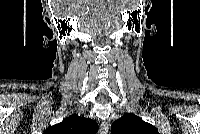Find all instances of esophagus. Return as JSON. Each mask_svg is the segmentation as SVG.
Wrapping results in <instances>:
<instances>
[{"instance_id":"1","label":"esophagus","mask_w":200,"mask_h":134,"mask_svg":"<svg viewBox=\"0 0 200 134\" xmlns=\"http://www.w3.org/2000/svg\"><path fill=\"white\" fill-rule=\"evenodd\" d=\"M108 131H109V124L107 121H103L100 125L99 133L100 134H108Z\"/></svg>"}]
</instances>
